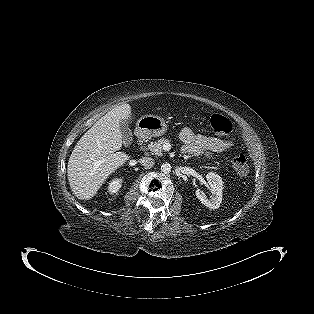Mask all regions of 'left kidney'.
<instances>
[{
	"mask_svg": "<svg viewBox=\"0 0 314 314\" xmlns=\"http://www.w3.org/2000/svg\"><path fill=\"white\" fill-rule=\"evenodd\" d=\"M206 179L208 181V184L210 186L212 196L210 199H208L204 192L200 189L196 190V196L201 201L202 204H204L206 207L210 209H217L219 208L221 202H222V195H223V181L222 178L213 172H209L206 175Z\"/></svg>",
	"mask_w": 314,
	"mask_h": 314,
	"instance_id": "1",
	"label": "left kidney"
}]
</instances>
